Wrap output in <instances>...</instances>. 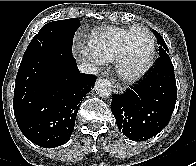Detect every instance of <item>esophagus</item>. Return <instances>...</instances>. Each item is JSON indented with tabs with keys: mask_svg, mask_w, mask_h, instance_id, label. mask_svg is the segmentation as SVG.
I'll return each instance as SVG.
<instances>
[{
	"mask_svg": "<svg viewBox=\"0 0 196 166\" xmlns=\"http://www.w3.org/2000/svg\"><path fill=\"white\" fill-rule=\"evenodd\" d=\"M113 90L117 94H122L124 91V88L120 84H113Z\"/></svg>",
	"mask_w": 196,
	"mask_h": 166,
	"instance_id": "34e87169",
	"label": "esophagus"
}]
</instances>
